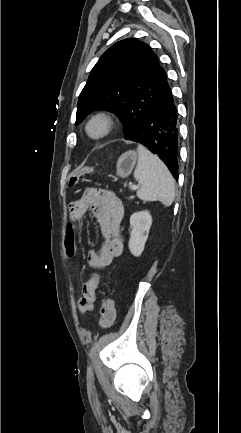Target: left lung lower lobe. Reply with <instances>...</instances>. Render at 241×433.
I'll return each mask as SVG.
<instances>
[{
	"mask_svg": "<svg viewBox=\"0 0 241 433\" xmlns=\"http://www.w3.org/2000/svg\"><path fill=\"white\" fill-rule=\"evenodd\" d=\"M125 139L146 146L166 164L175 179H178L179 121L168 83L157 104Z\"/></svg>",
	"mask_w": 241,
	"mask_h": 433,
	"instance_id": "1",
	"label": "left lung lower lobe"
}]
</instances>
